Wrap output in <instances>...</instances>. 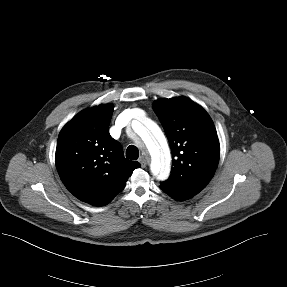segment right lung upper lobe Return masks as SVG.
Wrapping results in <instances>:
<instances>
[{"instance_id":"cb5924a9","label":"right lung upper lobe","mask_w":287,"mask_h":287,"mask_svg":"<svg viewBox=\"0 0 287 287\" xmlns=\"http://www.w3.org/2000/svg\"><path fill=\"white\" fill-rule=\"evenodd\" d=\"M112 114L109 104L83 110L62 128L57 141L55 162L63 184L94 206L108 204L140 167L125 159L120 143L110 136Z\"/></svg>"}]
</instances>
